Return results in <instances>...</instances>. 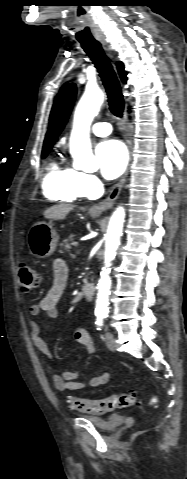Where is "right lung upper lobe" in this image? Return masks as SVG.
I'll use <instances>...</instances> for the list:
<instances>
[{
    "instance_id": "right-lung-upper-lobe-1",
    "label": "right lung upper lobe",
    "mask_w": 187,
    "mask_h": 479,
    "mask_svg": "<svg viewBox=\"0 0 187 479\" xmlns=\"http://www.w3.org/2000/svg\"><path fill=\"white\" fill-rule=\"evenodd\" d=\"M117 67H118L120 78L125 83L127 78V72L124 70L123 63L118 62ZM75 97H76V86L75 84H72L69 89L68 96L65 100V103L62 107V110L58 116V119L56 120L55 124L51 127V129L48 131V133L46 134V138L43 145V152L50 151L58 135L64 128L68 120L69 114L71 112Z\"/></svg>"
}]
</instances>
